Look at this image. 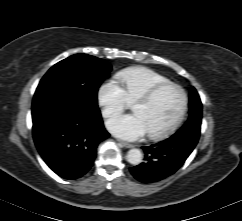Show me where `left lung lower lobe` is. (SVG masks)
I'll use <instances>...</instances> for the list:
<instances>
[{
  "label": "left lung lower lobe",
  "mask_w": 242,
  "mask_h": 221,
  "mask_svg": "<svg viewBox=\"0 0 242 221\" xmlns=\"http://www.w3.org/2000/svg\"><path fill=\"white\" fill-rule=\"evenodd\" d=\"M199 134L190 131L175 133L170 138L143 147L145 162L130 168L135 179L142 183L158 182L174 174L195 148Z\"/></svg>",
  "instance_id": "1"
}]
</instances>
